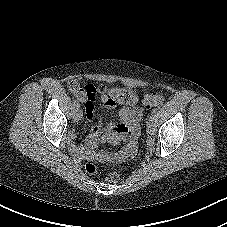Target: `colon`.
Listing matches in <instances>:
<instances>
[{"label":"colon","mask_w":227,"mask_h":227,"mask_svg":"<svg viewBox=\"0 0 227 227\" xmlns=\"http://www.w3.org/2000/svg\"><path fill=\"white\" fill-rule=\"evenodd\" d=\"M68 88L71 92H76L80 88L78 82L76 80H71L68 82ZM92 93L96 94L97 92L100 93H107L110 98L117 104H128L131 102L132 99V92L128 89L124 88H110L107 89L104 86H100L98 88L94 87L91 90ZM142 104L145 108L150 109L156 106H159L162 104V97L159 94L153 93V94H147L143 97L142 99ZM86 172L89 175H96L98 173V168L96 165L92 163H88L85 167ZM119 174L116 172L110 173L107 177L106 180L109 183H116L119 181Z\"/></svg>","instance_id":"5ec220e1"}]
</instances>
